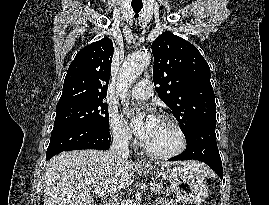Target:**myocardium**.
<instances>
[{"mask_svg": "<svg viewBox=\"0 0 269 205\" xmlns=\"http://www.w3.org/2000/svg\"><path fill=\"white\" fill-rule=\"evenodd\" d=\"M159 119L167 121L172 125V127L174 128V130L176 131L179 137V146L172 151L161 153V152L152 151L145 144H142V150L146 155L152 158H156V159L173 158L181 154L187 147V137H186L185 131L183 127L181 126V124L179 123V121L172 115L162 114L159 117Z\"/></svg>", "mask_w": 269, "mask_h": 205, "instance_id": "1", "label": "myocardium"}]
</instances>
